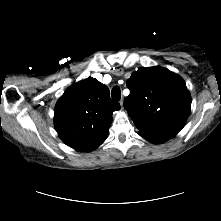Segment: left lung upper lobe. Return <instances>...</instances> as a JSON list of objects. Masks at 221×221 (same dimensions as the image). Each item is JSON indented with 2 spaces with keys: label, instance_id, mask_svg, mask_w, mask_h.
<instances>
[{
  "label": "left lung upper lobe",
  "instance_id": "obj_1",
  "mask_svg": "<svg viewBox=\"0 0 221 221\" xmlns=\"http://www.w3.org/2000/svg\"><path fill=\"white\" fill-rule=\"evenodd\" d=\"M124 107L139 132L163 140L184 127L191 97L184 80L161 67L141 68L127 80Z\"/></svg>",
  "mask_w": 221,
  "mask_h": 221
}]
</instances>
